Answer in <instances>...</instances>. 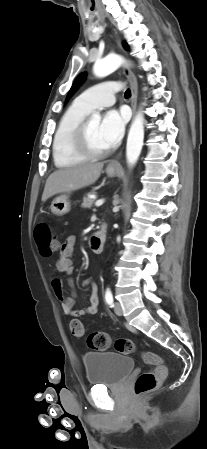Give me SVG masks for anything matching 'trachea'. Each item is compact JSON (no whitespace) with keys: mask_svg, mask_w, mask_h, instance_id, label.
Wrapping results in <instances>:
<instances>
[{"mask_svg":"<svg viewBox=\"0 0 207 449\" xmlns=\"http://www.w3.org/2000/svg\"><path fill=\"white\" fill-rule=\"evenodd\" d=\"M124 96H125V98H130L131 97V91L129 89H127Z\"/></svg>","mask_w":207,"mask_h":449,"instance_id":"trachea-1","label":"trachea"}]
</instances>
